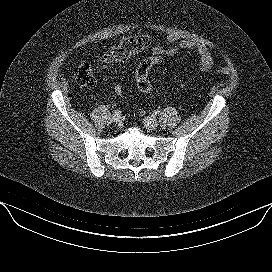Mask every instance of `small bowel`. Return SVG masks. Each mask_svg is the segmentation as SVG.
Wrapping results in <instances>:
<instances>
[{
	"instance_id": "1",
	"label": "small bowel",
	"mask_w": 272,
	"mask_h": 272,
	"mask_svg": "<svg viewBox=\"0 0 272 272\" xmlns=\"http://www.w3.org/2000/svg\"><path fill=\"white\" fill-rule=\"evenodd\" d=\"M131 38H125L117 46H126ZM150 49L153 55L174 56L179 50H194L198 55V66L201 71H208L214 65V59L205 45L196 43L190 39L180 40L177 35H169L165 40V45L152 44Z\"/></svg>"
}]
</instances>
